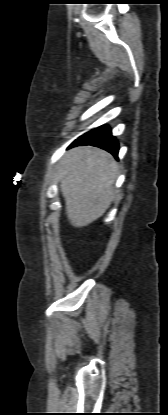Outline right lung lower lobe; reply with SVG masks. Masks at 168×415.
<instances>
[{
  "instance_id": "obj_1",
  "label": "right lung lower lobe",
  "mask_w": 168,
  "mask_h": 415,
  "mask_svg": "<svg viewBox=\"0 0 168 415\" xmlns=\"http://www.w3.org/2000/svg\"><path fill=\"white\" fill-rule=\"evenodd\" d=\"M79 145H92L102 148L116 158L118 157L119 144L115 137L112 136L111 130L108 126L103 125L98 128L92 129L91 131L83 134L76 139L70 147Z\"/></svg>"
}]
</instances>
